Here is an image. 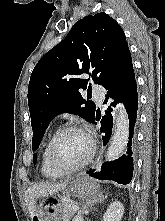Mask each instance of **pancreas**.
Masks as SVG:
<instances>
[{"label":"pancreas","instance_id":"obj_1","mask_svg":"<svg viewBox=\"0 0 165 221\" xmlns=\"http://www.w3.org/2000/svg\"><path fill=\"white\" fill-rule=\"evenodd\" d=\"M73 205L74 203L70 201L63 202V221H69L75 215V210L72 208Z\"/></svg>","mask_w":165,"mask_h":221}]
</instances>
